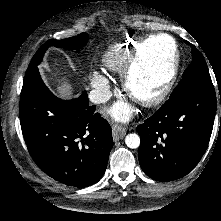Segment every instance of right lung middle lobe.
<instances>
[{"label":"right lung middle lobe","mask_w":221,"mask_h":221,"mask_svg":"<svg viewBox=\"0 0 221 221\" xmlns=\"http://www.w3.org/2000/svg\"><path fill=\"white\" fill-rule=\"evenodd\" d=\"M87 40H88V34L86 33H81L78 36H74V37L62 39V40H48L47 42H45V44H43L39 48V50L36 52V54L32 58L29 64V67L25 73L24 80H26L29 76H31L32 74L38 71L37 65L41 62L46 49L50 45L58 46V47L69 49V50H78L87 43Z\"/></svg>","instance_id":"right-lung-middle-lobe-1"}]
</instances>
